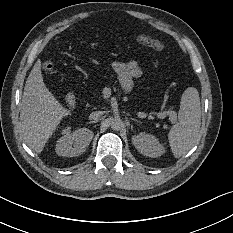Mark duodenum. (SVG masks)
I'll return each instance as SVG.
<instances>
[{"label": "duodenum", "instance_id": "obj_1", "mask_svg": "<svg viewBox=\"0 0 233 233\" xmlns=\"http://www.w3.org/2000/svg\"><path fill=\"white\" fill-rule=\"evenodd\" d=\"M76 94L74 92H70L66 96V103L70 108H74L76 105Z\"/></svg>", "mask_w": 233, "mask_h": 233}]
</instances>
